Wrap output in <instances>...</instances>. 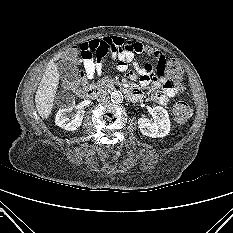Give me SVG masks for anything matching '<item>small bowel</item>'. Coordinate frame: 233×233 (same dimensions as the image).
I'll list each match as a JSON object with an SVG mask.
<instances>
[{
    "mask_svg": "<svg viewBox=\"0 0 233 233\" xmlns=\"http://www.w3.org/2000/svg\"><path fill=\"white\" fill-rule=\"evenodd\" d=\"M78 53L83 59L85 73L88 78L100 75L102 64L108 54L117 61L119 70L124 71L128 65L134 63V53L147 54L157 60V70L165 61V56L159 50L149 48L140 42L125 40L120 37H105L84 42L79 45ZM140 84L142 87L152 85L154 90L153 100L159 105H165L169 98L178 94L179 89L170 85V80L158 78L153 74V66L149 63L140 69ZM130 79H135L136 74L132 71L127 73ZM138 97L142 96V91L134 90Z\"/></svg>",
    "mask_w": 233,
    "mask_h": 233,
    "instance_id": "1",
    "label": "small bowel"
}]
</instances>
